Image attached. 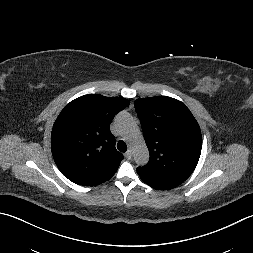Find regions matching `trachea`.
Segmentation results:
<instances>
[{
  "mask_svg": "<svg viewBox=\"0 0 253 253\" xmlns=\"http://www.w3.org/2000/svg\"><path fill=\"white\" fill-rule=\"evenodd\" d=\"M117 148L120 152H126L127 151V145L124 141H119L117 144Z\"/></svg>",
  "mask_w": 253,
  "mask_h": 253,
  "instance_id": "3493384b",
  "label": "trachea"
}]
</instances>
